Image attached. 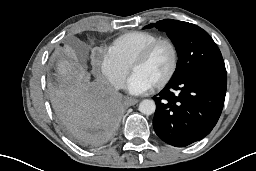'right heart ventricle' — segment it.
<instances>
[{
  "label": "right heart ventricle",
  "instance_id": "obj_1",
  "mask_svg": "<svg viewBox=\"0 0 256 171\" xmlns=\"http://www.w3.org/2000/svg\"><path fill=\"white\" fill-rule=\"evenodd\" d=\"M157 39L159 36L151 32L130 31L114 39L107 51L128 67L143 48Z\"/></svg>",
  "mask_w": 256,
  "mask_h": 171
}]
</instances>
